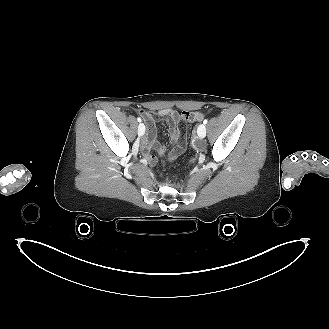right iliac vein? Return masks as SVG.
I'll return each instance as SVG.
<instances>
[{"mask_svg": "<svg viewBox=\"0 0 329 329\" xmlns=\"http://www.w3.org/2000/svg\"><path fill=\"white\" fill-rule=\"evenodd\" d=\"M145 133V125L143 123H140L138 126V135L143 136Z\"/></svg>", "mask_w": 329, "mask_h": 329, "instance_id": "obj_1", "label": "right iliac vein"}]
</instances>
